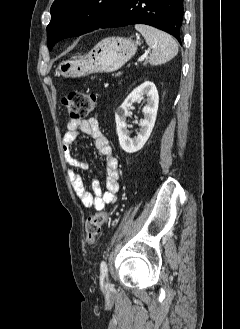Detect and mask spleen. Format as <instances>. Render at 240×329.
<instances>
[{
	"instance_id": "1",
	"label": "spleen",
	"mask_w": 240,
	"mask_h": 329,
	"mask_svg": "<svg viewBox=\"0 0 240 329\" xmlns=\"http://www.w3.org/2000/svg\"><path fill=\"white\" fill-rule=\"evenodd\" d=\"M135 29L152 48L149 58L151 65L165 63L178 54V44L169 34L144 24H136Z\"/></svg>"
}]
</instances>
